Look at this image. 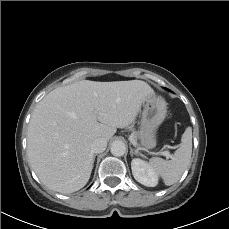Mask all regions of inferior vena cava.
<instances>
[{"label": "inferior vena cava", "mask_w": 229, "mask_h": 229, "mask_svg": "<svg viewBox=\"0 0 229 229\" xmlns=\"http://www.w3.org/2000/svg\"><path fill=\"white\" fill-rule=\"evenodd\" d=\"M107 147V140L104 138H96L91 143L92 153H101L105 151Z\"/></svg>", "instance_id": "602c4592"}]
</instances>
